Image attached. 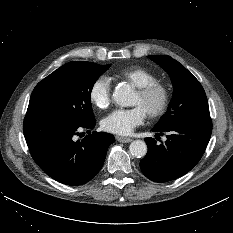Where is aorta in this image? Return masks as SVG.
<instances>
[{
	"label": "aorta",
	"instance_id": "obj_1",
	"mask_svg": "<svg viewBox=\"0 0 233 233\" xmlns=\"http://www.w3.org/2000/svg\"><path fill=\"white\" fill-rule=\"evenodd\" d=\"M134 92L127 84L119 85L113 93L114 102L121 107H128L133 104ZM130 154L136 158H142L147 153V145L142 140H134L129 146Z\"/></svg>",
	"mask_w": 233,
	"mask_h": 233
}]
</instances>
